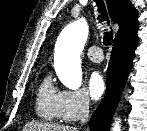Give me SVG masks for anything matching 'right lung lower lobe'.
Returning a JSON list of instances; mask_svg holds the SVG:
<instances>
[{
	"label": "right lung lower lobe",
	"mask_w": 147,
	"mask_h": 131,
	"mask_svg": "<svg viewBox=\"0 0 147 131\" xmlns=\"http://www.w3.org/2000/svg\"><path fill=\"white\" fill-rule=\"evenodd\" d=\"M137 42L136 31L114 40L107 70L106 94L91 117V131H108L132 66Z\"/></svg>",
	"instance_id": "obj_1"
}]
</instances>
